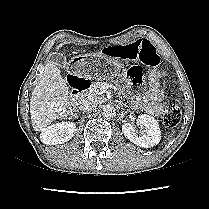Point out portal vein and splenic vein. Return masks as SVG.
Wrapping results in <instances>:
<instances>
[{
	"mask_svg": "<svg viewBox=\"0 0 209 209\" xmlns=\"http://www.w3.org/2000/svg\"><path fill=\"white\" fill-rule=\"evenodd\" d=\"M108 88H115V86L110 83H104L100 88V94L104 93Z\"/></svg>",
	"mask_w": 209,
	"mask_h": 209,
	"instance_id": "obj_1",
	"label": "portal vein and splenic vein"
}]
</instances>
